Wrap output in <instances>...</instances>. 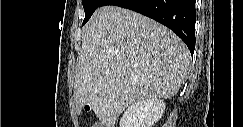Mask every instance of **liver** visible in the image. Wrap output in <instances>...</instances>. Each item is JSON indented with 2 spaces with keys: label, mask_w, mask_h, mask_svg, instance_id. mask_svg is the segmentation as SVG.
Segmentation results:
<instances>
[{
  "label": "liver",
  "mask_w": 243,
  "mask_h": 127,
  "mask_svg": "<svg viewBox=\"0 0 243 127\" xmlns=\"http://www.w3.org/2000/svg\"><path fill=\"white\" fill-rule=\"evenodd\" d=\"M185 43L158 22L118 6L98 8L84 28L74 97L104 127L138 101L170 98L190 64Z\"/></svg>",
  "instance_id": "liver-1"
}]
</instances>
